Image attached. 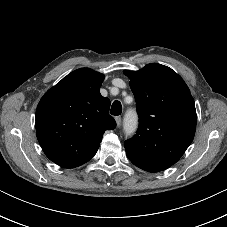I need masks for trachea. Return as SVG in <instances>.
I'll use <instances>...</instances> for the list:
<instances>
[{"label":"trachea","instance_id":"3493384b","mask_svg":"<svg viewBox=\"0 0 227 227\" xmlns=\"http://www.w3.org/2000/svg\"><path fill=\"white\" fill-rule=\"evenodd\" d=\"M122 112V105L120 101L116 100L113 102L110 113L114 116L120 115Z\"/></svg>","mask_w":227,"mask_h":227}]
</instances>
